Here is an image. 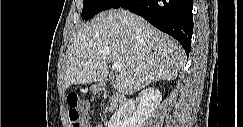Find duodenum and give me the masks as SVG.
I'll use <instances>...</instances> for the list:
<instances>
[{
    "instance_id": "duodenum-1",
    "label": "duodenum",
    "mask_w": 243,
    "mask_h": 127,
    "mask_svg": "<svg viewBox=\"0 0 243 127\" xmlns=\"http://www.w3.org/2000/svg\"><path fill=\"white\" fill-rule=\"evenodd\" d=\"M125 96L121 93H114L110 96V104L112 108V113L118 109L121 105L125 103Z\"/></svg>"
}]
</instances>
